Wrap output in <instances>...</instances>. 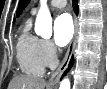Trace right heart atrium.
Wrapping results in <instances>:
<instances>
[{"mask_svg":"<svg viewBox=\"0 0 107 89\" xmlns=\"http://www.w3.org/2000/svg\"><path fill=\"white\" fill-rule=\"evenodd\" d=\"M41 56L45 66L54 64L57 58V50L50 40H41Z\"/></svg>","mask_w":107,"mask_h":89,"instance_id":"obj_1","label":"right heart atrium"}]
</instances>
